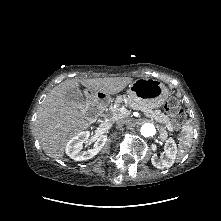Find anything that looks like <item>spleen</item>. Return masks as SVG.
<instances>
[{
    "label": "spleen",
    "instance_id": "3e777b00",
    "mask_svg": "<svg viewBox=\"0 0 221 221\" xmlns=\"http://www.w3.org/2000/svg\"><path fill=\"white\" fill-rule=\"evenodd\" d=\"M193 129L189 125H185L182 129V135L179 140V155L183 157L192 144Z\"/></svg>",
    "mask_w": 221,
    "mask_h": 221
}]
</instances>
